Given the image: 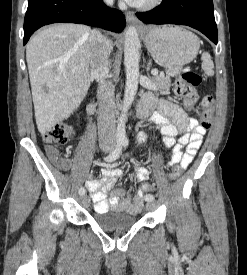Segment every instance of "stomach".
Masks as SVG:
<instances>
[{
    "instance_id": "stomach-1",
    "label": "stomach",
    "mask_w": 247,
    "mask_h": 275,
    "mask_svg": "<svg viewBox=\"0 0 247 275\" xmlns=\"http://www.w3.org/2000/svg\"><path fill=\"white\" fill-rule=\"evenodd\" d=\"M142 34L153 59L171 76L179 74L196 57L200 47L197 36L180 27H146Z\"/></svg>"
}]
</instances>
